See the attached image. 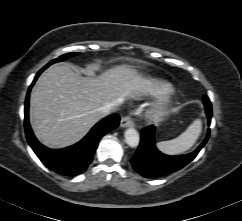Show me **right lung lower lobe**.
Masks as SVG:
<instances>
[{
    "label": "right lung lower lobe",
    "instance_id": "obj_1",
    "mask_svg": "<svg viewBox=\"0 0 242 221\" xmlns=\"http://www.w3.org/2000/svg\"><path fill=\"white\" fill-rule=\"evenodd\" d=\"M44 69L40 70L29 87L25 100V133L28 143L35 154L51 170L65 176H75L86 171L92 162L93 154L102 136L119 125L120 118L117 114L110 115L97 123L91 131L77 144L70 147L52 150L43 146L34 136L29 120V94L38 76Z\"/></svg>",
    "mask_w": 242,
    "mask_h": 221
}]
</instances>
